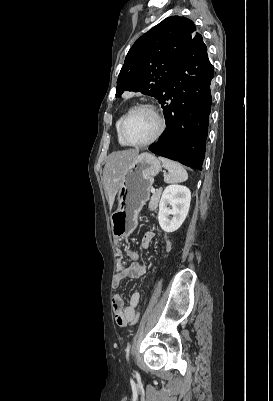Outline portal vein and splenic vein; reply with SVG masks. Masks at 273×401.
<instances>
[{"instance_id": "portal-vein-and-splenic-vein-1", "label": "portal vein and splenic vein", "mask_w": 273, "mask_h": 401, "mask_svg": "<svg viewBox=\"0 0 273 401\" xmlns=\"http://www.w3.org/2000/svg\"><path fill=\"white\" fill-rule=\"evenodd\" d=\"M164 172H165V170H164ZM151 192H155V188H151Z\"/></svg>"}]
</instances>
